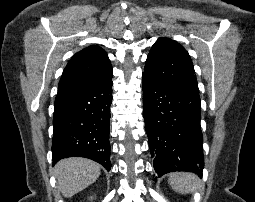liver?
<instances>
[{
  "label": "liver",
  "instance_id": "obj_1",
  "mask_svg": "<svg viewBox=\"0 0 255 202\" xmlns=\"http://www.w3.org/2000/svg\"><path fill=\"white\" fill-rule=\"evenodd\" d=\"M101 173V167L89 159L72 157L59 161L55 175L61 193L70 198L94 183Z\"/></svg>",
  "mask_w": 255,
  "mask_h": 202
}]
</instances>
